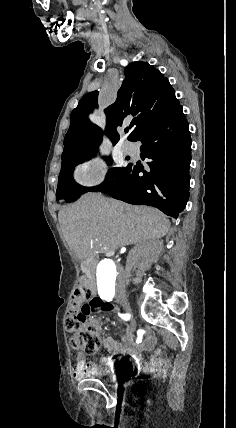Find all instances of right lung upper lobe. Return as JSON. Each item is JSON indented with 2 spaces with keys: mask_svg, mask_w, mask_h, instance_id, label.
Segmentation results:
<instances>
[{
  "mask_svg": "<svg viewBox=\"0 0 236 428\" xmlns=\"http://www.w3.org/2000/svg\"><path fill=\"white\" fill-rule=\"evenodd\" d=\"M125 80L118 91L117 100L105 109L107 128L105 134L115 144L116 131L126 117L133 116L130 125L137 127L128 136L131 140L148 123L166 116L179 101L167 78L147 62H132L125 68ZM98 91L83 96L71 113V123L64 138L61 170L73 162L92 155L102 141V130L87 118L98 106Z\"/></svg>",
  "mask_w": 236,
  "mask_h": 428,
  "instance_id": "obj_1",
  "label": "right lung upper lobe"
}]
</instances>
